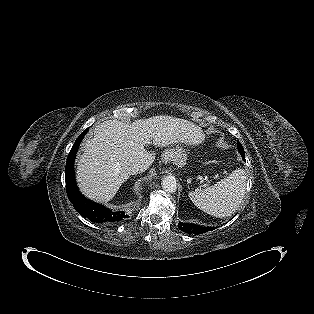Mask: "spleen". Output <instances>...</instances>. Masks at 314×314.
I'll return each mask as SVG.
<instances>
[{
	"instance_id": "1",
	"label": "spleen",
	"mask_w": 314,
	"mask_h": 314,
	"mask_svg": "<svg viewBox=\"0 0 314 314\" xmlns=\"http://www.w3.org/2000/svg\"><path fill=\"white\" fill-rule=\"evenodd\" d=\"M246 176L243 169L234 170L216 184L189 192L190 200L203 212L224 218L234 214L245 195Z\"/></svg>"
}]
</instances>
